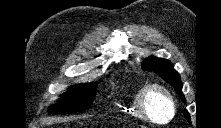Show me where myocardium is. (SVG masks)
<instances>
[{
    "label": "myocardium",
    "instance_id": "1",
    "mask_svg": "<svg viewBox=\"0 0 221 128\" xmlns=\"http://www.w3.org/2000/svg\"><path fill=\"white\" fill-rule=\"evenodd\" d=\"M157 97L162 98L167 103L170 110L168 118L162 122L157 121L154 118L150 107L153 99ZM139 105L142 116L145 119L158 124H164L170 122L174 118L176 113L175 102L171 93L163 85L158 83H152L143 88L140 94Z\"/></svg>",
    "mask_w": 221,
    "mask_h": 128
}]
</instances>
